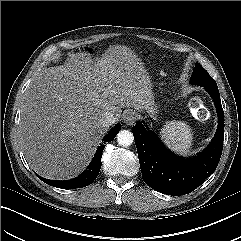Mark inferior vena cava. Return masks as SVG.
<instances>
[{"mask_svg":"<svg viewBox=\"0 0 241 241\" xmlns=\"http://www.w3.org/2000/svg\"><path fill=\"white\" fill-rule=\"evenodd\" d=\"M116 121V117L111 112H106L102 118L100 119V124L104 127H109L114 124Z\"/></svg>","mask_w":241,"mask_h":241,"instance_id":"obj_1","label":"inferior vena cava"}]
</instances>
